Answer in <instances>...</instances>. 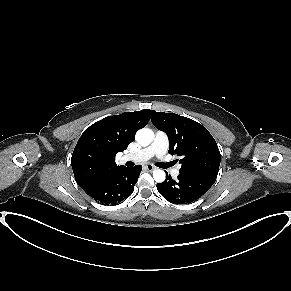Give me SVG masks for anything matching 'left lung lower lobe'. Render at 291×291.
<instances>
[{
  "instance_id": "left-lung-lower-lobe-1",
  "label": "left lung lower lobe",
  "mask_w": 291,
  "mask_h": 291,
  "mask_svg": "<svg viewBox=\"0 0 291 291\" xmlns=\"http://www.w3.org/2000/svg\"><path fill=\"white\" fill-rule=\"evenodd\" d=\"M216 178L207 174L180 172L177 180L167 176L164 182L157 184V190L171 203H191L203 196Z\"/></svg>"
}]
</instances>
